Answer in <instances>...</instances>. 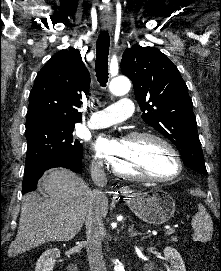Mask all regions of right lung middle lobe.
Returning a JSON list of instances; mask_svg holds the SVG:
<instances>
[{
    "mask_svg": "<svg viewBox=\"0 0 221 271\" xmlns=\"http://www.w3.org/2000/svg\"><path fill=\"white\" fill-rule=\"evenodd\" d=\"M74 126H40L26 131L27 155L25 165L67 160L81 155L82 145L72 136Z\"/></svg>",
    "mask_w": 221,
    "mask_h": 271,
    "instance_id": "right-lung-middle-lobe-1",
    "label": "right lung middle lobe"
}]
</instances>
